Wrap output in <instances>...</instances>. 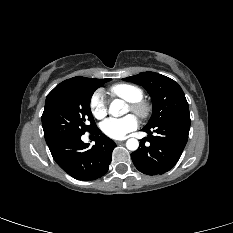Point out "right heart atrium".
<instances>
[{"label": "right heart atrium", "mask_w": 233, "mask_h": 233, "mask_svg": "<svg viewBox=\"0 0 233 233\" xmlns=\"http://www.w3.org/2000/svg\"><path fill=\"white\" fill-rule=\"evenodd\" d=\"M89 107L92 115L102 119L107 114V101L101 91H96L90 98Z\"/></svg>", "instance_id": "obj_1"}]
</instances>
